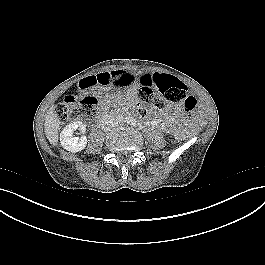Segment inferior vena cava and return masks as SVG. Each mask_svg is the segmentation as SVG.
Here are the masks:
<instances>
[{
    "instance_id": "1",
    "label": "inferior vena cava",
    "mask_w": 265,
    "mask_h": 265,
    "mask_svg": "<svg viewBox=\"0 0 265 265\" xmlns=\"http://www.w3.org/2000/svg\"><path fill=\"white\" fill-rule=\"evenodd\" d=\"M117 122L114 116L110 114H104L99 120V126L104 131H109L116 126Z\"/></svg>"
}]
</instances>
